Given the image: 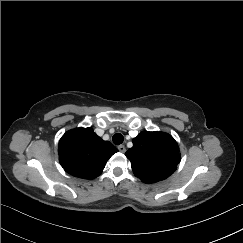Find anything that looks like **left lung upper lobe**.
<instances>
[{"mask_svg":"<svg viewBox=\"0 0 243 243\" xmlns=\"http://www.w3.org/2000/svg\"><path fill=\"white\" fill-rule=\"evenodd\" d=\"M125 155L131 162L135 176L144 183L168 178L180 162L176 141L163 132H141L133 139V147Z\"/></svg>","mask_w":243,"mask_h":243,"instance_id":"1","label":"left lung upper lobe"}]
</instances>
